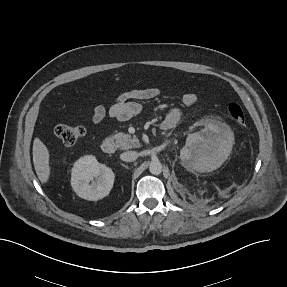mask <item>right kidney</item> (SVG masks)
Instances as JSON below:
<instances>
[{
    "label": "right kidney",
    "mask_w": 287,
    "mask_h": 287,
    "mask_svg": "<svg viewBox=\"0 0 287 287\" xmlns=\"http://www.w3.org/2000/svg\"><path fill=\"white\" fill-rule=\"evenodd\" d=\"M114 177L111 168L98 163L94 156L87 155L74 163L71 170V186L79 197L97 201L110 193Z\"/></svg>",
    "instance_id": "ca27d5eb"
}]
</instances>
